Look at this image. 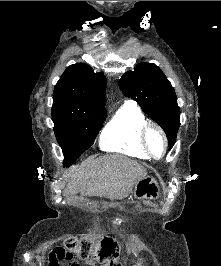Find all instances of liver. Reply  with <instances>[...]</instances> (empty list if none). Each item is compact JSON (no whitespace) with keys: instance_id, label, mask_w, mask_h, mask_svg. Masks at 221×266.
Listing matches in <instances>:
<instances>
[{"instance_id":"obj_1","label":"liver","mask_w":221,"mask_h":266,"mask_svg":"<svg viewBox=\"0 0 221 266\" xmlns=\"http://www.w3.org/2000/svg\"><path fill=\"white\" fill-rule=\"evenodd\" d=\"M145 169L136 161L122 155H105L93 159L81 168L72 167L65 193L123 199L142 177Z\"/></svg>"}]
</instances>
